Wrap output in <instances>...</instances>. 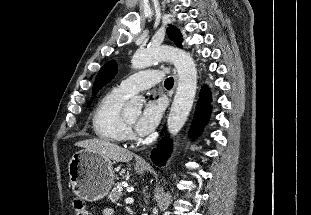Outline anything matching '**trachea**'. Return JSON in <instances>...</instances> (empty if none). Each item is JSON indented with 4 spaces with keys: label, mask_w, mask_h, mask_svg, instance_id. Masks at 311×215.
<instances>
[{
    "label": "trachea",
    "mask_w": 311,
    "mask_h": 215,
    "mask_svg": "<svg viewBox=\"0 0 311 215\" xmlns=\"http://www.w3.org/2000/svg\"><path fill=\"white\" fill-rule=\"evenodd\" d=\"M164 85H165L166 88H171V87H173V85H174V80H173V78H172V77L167 78V79L165 80V82H164Z\"/></svg>",
    "instance_id": "1"
}]
</instances>
